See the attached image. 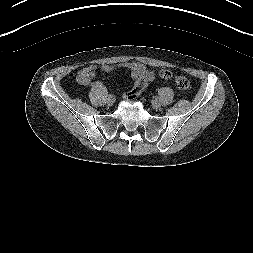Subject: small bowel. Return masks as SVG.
I'll list each match as a JSON object with an SVG mask.
<instances>
[{
	"instance_id": "1",
	"label": "small bowel",
	"mask_w": 253,
	"mask_h": 253,
	"mask_svg": "<svg viewBox=\"0 0 253 253\" xmlns=\"http://www.w3.org/2000/svg\"><path fill=\"white\" fill-rule=\"evenodd\" d=\"M130 72L131 77L135 80L136 78L143 79L146 84L154 78V72L149 70L146 66L135 62H128L124 64ZM98 67L91 65L81 69L77 76V81L84 86H88L92 83ZM100 69L104 72L112 71L113 67L110 65H102Z\"/></svg>"
}]
</instances>
